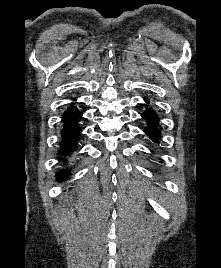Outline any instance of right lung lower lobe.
I'll use <instances>...</instances> for the list:
<instances>
[{"instance_id": "1", "label": "right lung lower lobe", "mask_w": 221, "mask_h": 268, "mask_svg": "<svg viewBox=\"0 0 221 268\" xmlns=\"http://www.w3.org/2000/svg\"><path fill=\"white\" fill-rule=\"evenodd\" d=\"M82 113L74 108V106L68 108L62 115L63 127L61 130L62 143L59 153L62 155L63 162L67 163V156L70 155L71 151L76 149L78 135L82 131L77 124L81 118ZM68 169H63L56 174L59 181L67 179Z\"/></svg>"}]
</instances>
